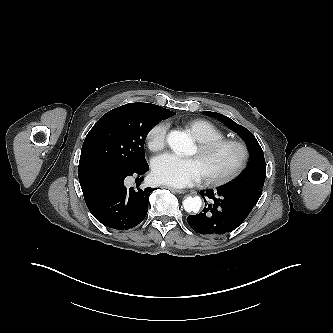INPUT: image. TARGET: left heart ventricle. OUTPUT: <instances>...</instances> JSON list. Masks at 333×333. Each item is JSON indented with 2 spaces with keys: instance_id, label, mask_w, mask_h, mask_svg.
Masks as SVG:
<instances>
[{
  "instance_id": "left-heart-ventricle-1",
  "label": "left heart ventricle",
  "mask_w": 333,
  "mask_h": 333,
  "mask_svg": "<svg viewBox=\"0 0 333 333\" xmlns=\"http://www.w3.org/2000/svg\"><path fill=\"white\" fill-rule=\"evenodd\" d=\"M195 158L200 165L203 176H219L226 173L235 164L237 152L233 148H224L208 156H200L197 150Z\"/></svg>"
}]
</instances>
